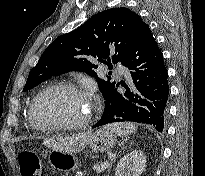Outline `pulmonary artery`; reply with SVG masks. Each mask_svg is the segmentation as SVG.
I'll return each mask as SVG.
<instances>
[{"mask_svg":"<svg viewBox=\"0 0 205 176\" xmlns=\"http://www.w3.org/2000/svg\"><path fill=\"white\" fill-rule=\"evenodd\" d=\"M116 71L119 76H128V69L122 65L116 66Z\"/></svg>","mask_w":205,"mask_h":176,"instance_id":"obj_1","label":"pulmonary artery"}]
</instances>
